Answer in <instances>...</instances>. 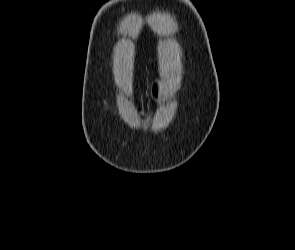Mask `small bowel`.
I'll use <instances>...</instances> for the list:
<instances>
[{
    "instance_id": "c3829d8e",
    "label": "small bowel",
    "mask_w": 295,
    "mask_h": 250,
    "mask_svg": "<svg viewBox=\"0 0 295 250\" xmlns=\"http://www.w3.org/2000/svg\"><path fill=\"white\" fill-rule=\"evenodd\" d=\"M157 91V88L155 87V92Z\"/></svg>"
}]
</instances>
